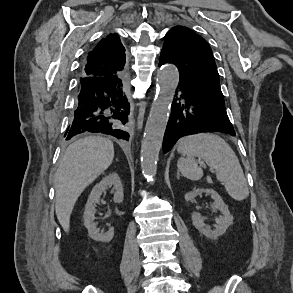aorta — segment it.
<instances>
[{
    "instance_id": "aorta-1",
    "label": "aorta",
    "mask_w": 293,
    "mask_h": 293,
    "mask_svg": "<svg viewBox=\"0 0 293 293\" xmlns=\"http://www.w3.org/2000/svg\"><path fill=\"white\" fill-rule=\"evenodd\" d=\"M178 83L179 73L174 65H165L159 71L156 95L141 144V169L148 180L152 179L157 172L158 156Z\"/></svg>"
}]
</instances>
